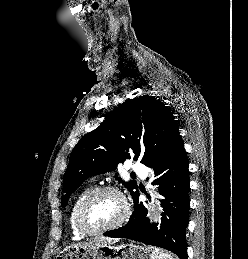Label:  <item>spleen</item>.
Instances as JSON below:
<instances>
[{"mask_svg":"<svg viewBox=\"0 0 248 259\" xmlns=\"http://www.w3.org/2000/svg\"><path fill=\"white\" fill-rule=\"evenodd\" d=\"M156 253H157V259H174L169 252L163 251L161 249L157 248Z\"/></svg>","mask_w":248,"mask_h":259,"instance_id":"spleen-1","label":"spleen"}]
</instances>
